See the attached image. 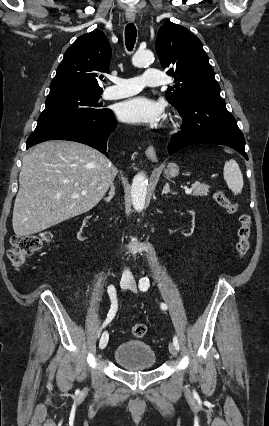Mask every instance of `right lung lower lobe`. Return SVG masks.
Wrapping results in <instances>:
<instances>
[{"mask_svg":"<svg viewBox=\"0 0 269 426\" xmlns=\"http://www.w3.org/2000/svg\"><path fill=\"white\" fill-rule=\"evenodd\" d=\"M116 126L113 112L105 109L103 113L97 115L75 119L32 133L27 140V149L47 140L60 139L84 143L108 157L107 140Z\"/></svg>","mask_w":269,"mask_h":426,"instance_id":"obj_1","label":"right lung lower lobe"}]
</instances>
